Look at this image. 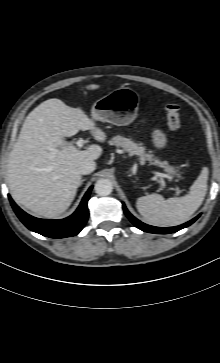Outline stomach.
<instances>
[{
	"instance_id": "1",
	"label": "stomach",
	"mask_w": 220,
	"mask_h": 363,
	"mask_svg": "<svg viewBox=\"0 0 220 363\" xmlns=\"http://www.w3.org/2000/svg\"><path fill=\"white\" fill-rule=\"evenodd\" d=\"M139 104L140 95L135 90L128 87L117 88L93 104L91 118L93 121L108 122L117 126L129 125L137 117ZM151 137L155 148L166 147L167 137L163 131L155 129Z\"/></svg>"
}]
</instances>
